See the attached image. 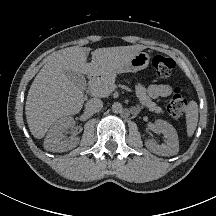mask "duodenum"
Wrapping results in <instances>:
<instances>
[{
  "mask_svg": "<svg viewBox=\"0 0 216 216\" xmlns=\"http://www.w3.org/2000/svg\"><path fill=\"white\" fill-rule=\"evenodd\" d=\"M93 77H94V76L90 74V75H88L87 79L90 81V80L93 79Z\"/></svg>",
  "mask_w": 216,
  "mask_h": 216,
  "instance_id": "obj_1",
  "label": "duodenum"
}]
</instances>
